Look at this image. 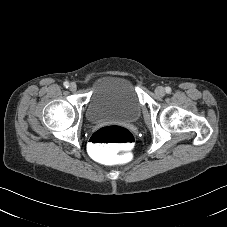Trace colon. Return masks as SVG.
<instances>
[{
	"instance_id": "1",
	"label": "colon",
	"mask_w": 227,
	"mask_h": 227,
	"mask_svg": "<svg viewBox=\"0 0 227 227\" xmlns=\"http://www.w3.org/2000/svg\"><path fill=\"white\" fill-rule=\"evenodd\" d=\"M134 145L132 132L123 126L111 125L97 130L90 138V151L101 162L120 160Z\"/></svg>"
}]
</instances>
